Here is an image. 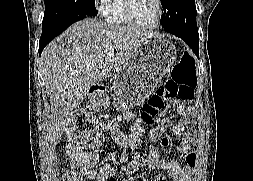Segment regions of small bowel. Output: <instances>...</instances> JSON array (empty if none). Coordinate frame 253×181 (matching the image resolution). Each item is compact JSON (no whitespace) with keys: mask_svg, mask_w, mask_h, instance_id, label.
I'll return each instance as SVG.
<instances>
[{"mask_svg":"<svg viewBox=\"0 0 253 181\" xmlns=\"http://www.w3.org/2000/svg\"><path fill=\"white\" fill-rule=\"evenodd\" d=\"M176 107L184 109L180 101L176 102ZM135 118V115H130ZM136 124L133 127L132 134L125 135L113 120L108 121L104 129L108 132L113 140L125 147L135 148L142 135L140 121L136 118ZM194 115L185 112L171 127L172 134L179 135L187 130L185 138L179 143L178 148L181 153L182 161L178 160H165V159H152L146 166L156 172H161L157 178H152V181H169L164 173L169 175L173 181H190L191 175L197 163V147L195 140V132L193 130ZM155 137L154 134L150 136L151 139ZM69 165L72 169V175L78 178V181H109L115 174L111 163H105L102 166L96 167L98 156L94 152L84 151L79 148L67 149ZM142 165L137 162H130L125 167V173L128 177L136 174Z\"/></svg>","mask_w":253,"mask_h":181,"instance_id":"small-bowel-1","label":"small bowel"}]
</instances>
